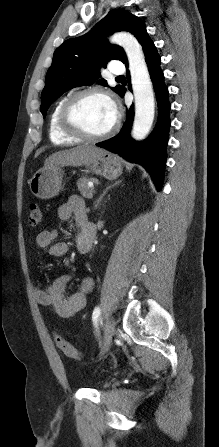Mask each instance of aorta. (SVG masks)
<instances>
[{
    "mask_svg": "<svg viewBox=\"0 0 219 447\" xmlns=\"http://www.w3.org/2000/svg\"><path fill=\"white\" fill-rule=\"evenodd\" d=\"M111 42L122 46L128 58L135 98L132 137L142 140L152 127L155 113L154 93L142 47L137 39L127 32L115 33L111 37Z\"/></svg>",
    "mask_w": 219,
    "mask_h": 447,
    "instance_id": "aorta-1",
    "label": "aorta"
}]
</instances>
